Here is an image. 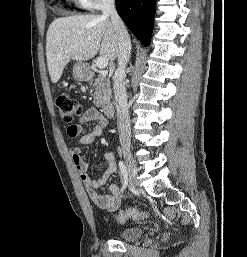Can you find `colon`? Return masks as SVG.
Listing matches in <instances>:
<instances>
[{"mask_svg": "<svg viewBox=\"0 0 247 257\" xmlns=\"http://www.w3.org/2000/svg\"><path fill=\"white\" fill-rule=\"evenodd\" d=\"M56 105L61 119L67 124H72L74 119L81 116L83 113V108L79 101L64 93L59 94L56 97ZM146 216L147 214L143 211L135 208H128L119 211L115 218L118 222L124 223L128 220H142L146 218Z\"/></svg>", "mask_w": 247, "mask_h": 257, "instance_id": "obj_1", "label": "colon"}]
</instances>
